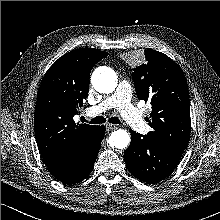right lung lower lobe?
I'll return each instance as SVG.
<instances>
[{
	"label": "right lung lower lobe",
	"mask_w": 220,
	"mask_h": 220,
	"mask_svg": "<svg viewBox=\"0 0 220 220\" xmlns=\"http://www.w3.org/2000/svg\"><path fill=\"white\" fill-rule=\"evenodd\" d=\"M104 133L105 127L97 126L91 136L76 150L66 166L52 172L54 177L67 185L85 179L94 167Z\"/></svg>",
	"instance_id": "1"
}]
</instances>
